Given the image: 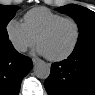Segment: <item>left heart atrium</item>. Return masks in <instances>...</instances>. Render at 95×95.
Returning a JSON list of instances; mask_svg holds the SVG:
<instances>
[{
    "instance_id": "left-heart-atrium-1",
    "label": "left heart atrium",
    "mask_w": 95,
    "mask_h": 95,
    "mask_svg": "<svg viewBox=\"0 0 95 95\" xmlns=\"http://www.w3.org/2000/svg\"><path fill=\"white\" fill-rule=\"evenodd\" d=\"M37 52L40 53V54L46 55L44 50L40 46H38Z\"/></svg>"
}]
</instances>
